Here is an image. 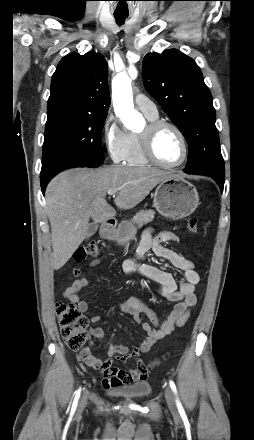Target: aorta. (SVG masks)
Returning a JSON list of instances; mask_svg holds the SVG:
<instances>
[{
	"instance_id": "762f6f07",
	"label": "aorta",
	"mask_w": 254,
	"mask_h": 440,
	"mask_svg": "<svg viewBox=\"0 0 254 440\" xmlns=\"http://www.w3.org/2000/svg\"><path fill=\"white\" fill-rule=\"evenodd\" d=\"M114 111L124 126L136 130L143 125L142 115L134 109L131 79L125 72L118 73L112 80Z\"/></svg>"
}]
</instances>
